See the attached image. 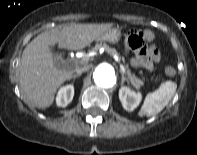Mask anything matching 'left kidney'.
I'll return each instance as SVG.
<instances>
[{
    "instance_id": "5707ae66",
    "label": "left kidney",
    "mask_w": 197,
    "mask_h": 155,
    "mask_svg": "<svg viewBox=\"0 0 197 155\" xmlns=\"http://www.w3.org/2000/svg\"><path fill=\"white\" fill-rule=\"evenodd\" d=\"M119 99L127 111H133L140 103L142 94L134 92L129 87L122 86L119 90Z\"/></svg>"
}]
</instances>
